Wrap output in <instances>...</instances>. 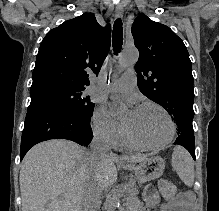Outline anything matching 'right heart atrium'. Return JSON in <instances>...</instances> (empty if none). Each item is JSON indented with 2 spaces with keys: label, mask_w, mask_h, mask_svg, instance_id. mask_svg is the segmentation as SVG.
<instances>
[{
  "label": "right heart atrium",
  "mask_w": 219,
  "mask_h": 211,
  "mask_svg": "<svg viewBox=\"0 0 219 211\" xmlns=\"http://www.w3.org/2000/svg\"><path fill=\"white\" fill-rule=\"evenodd\" d=\"M95 137L108 146L118 145L123 137V127L113 120L102 107L96 108L91 117Z\"/></svg>",
  "instance_id": "d8ad5b80"
}]
</instances>
